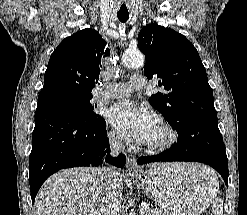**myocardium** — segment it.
<instances>
[{
  "label": "myocardium",
  "mask_w": 247,
  "mask_h": 215,
  "mask_svg": "<svg viewBox=\"0 0 247 215\" xmlns=\"http://www.w3.org/2000/svg\"><path fill=\"white\" fill-rule=\"evenodd\" d=\"M158 125L164 133V137L157 143H145L144 149L152 154H159L169 150L177 141V132L173 126L165 120H159Z\"/></svg>",
  "instance_id": "1"
}]
</instances>
